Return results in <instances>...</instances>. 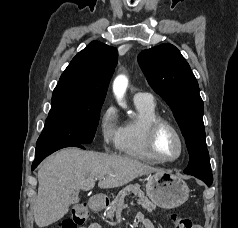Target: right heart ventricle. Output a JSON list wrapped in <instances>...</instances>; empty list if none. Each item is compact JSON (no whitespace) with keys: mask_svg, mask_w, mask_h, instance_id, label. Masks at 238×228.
Here are the masks:
<instances>
[{"mask_svg":"<svg viewBox=\"0 0 238 228\" xmlns=\"http://www.w3.org/2000/svg\"><path fill=\"white\" fill-rule=\"evenodd\" d=\"M137 115L123 122L117 149L120 153L151 163H159L146 145L147 128L151 122L161 118L155 103L135 102Z\"/></svg>","mask_w":238,"mask_h":228,"instance_id":"1","label":"right heart ventricle"}]
</instances>
